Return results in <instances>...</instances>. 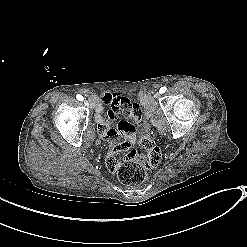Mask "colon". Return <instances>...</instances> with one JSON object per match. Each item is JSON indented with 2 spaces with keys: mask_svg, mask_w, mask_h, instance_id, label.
<instances>
[{
  "mask_svg": "<svg viewBox=\"0 0 247 247\" xmlns=\"http://www.w3.org/2000/svg\"><path fill=\"white\" fill-rule=\"evenodd\" d=\"M137 124L142 128V115ZM141 139L137 147L131 149L121 160L116 175L127 186H139L149 177V172L161 160V151L149 134L142 128Z\"/></svg>",
  "mask_w": 247,
  "mask_h": 247,
  "instance_id": "obj_1",
  "label": "colon"
}]
</instances>
